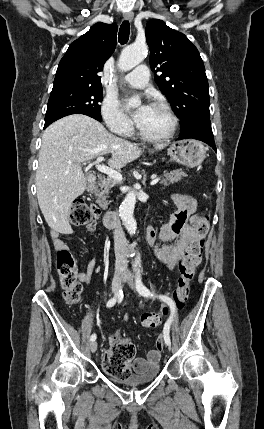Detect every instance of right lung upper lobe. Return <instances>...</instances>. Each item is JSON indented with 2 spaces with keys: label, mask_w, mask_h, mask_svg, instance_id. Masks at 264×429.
<instances>
[{
  "label": "right lung upper lobe",
  "mask_w": 264,
  "mask_h": 429,
  "mask_svg": "<svg viewBox=\"0 0 264 429\" xmlns=\"http://www.w3.org/2000/svg\"><path fill=\"white\" fill-rule=\"evenodd\" d=\"M117 26L96 23L69 46L61 59L52 90L70 87L102 88L100 76L116 47Z\"/></svg>",
  "instance_id": "cb5924a9"
}]
</instances>
